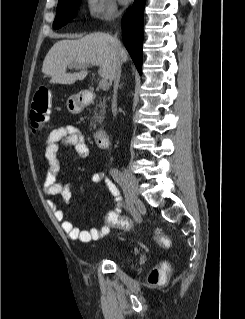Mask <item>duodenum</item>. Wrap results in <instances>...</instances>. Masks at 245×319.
<instances>
[{"instance_id":"1","label":"duodenum","mask_w":245,"mask_h":319,"mask_svg":"<svg viewBox=\"0 0 245 319\" xmlns=\"http://www.w3.org/2000/svg\"><path fill=\"white\" fill-rule=\"evenodd\" d=\"M93 99L92 96H87V103ZM95 142L99 148L106 149L109 147V134L104 130H99L95 134Z\"/></svg>"}]
</instances>
